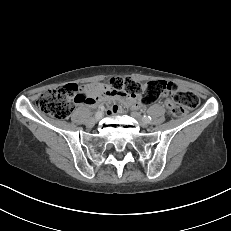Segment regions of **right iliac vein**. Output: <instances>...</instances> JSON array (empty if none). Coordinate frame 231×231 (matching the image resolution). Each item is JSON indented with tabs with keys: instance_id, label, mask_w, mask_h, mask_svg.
<instances>
[{
	"instance_id": "1",
	"label": "right iliac vein",
	"mask_w": 231,
	"mask_h": 231,
	"mask_svg": "<svg viewBox=\"0 0 231 231\" xmlns=\"http://www.w3.org/2000/svg\"><path fill=\"white\" fill-rule=\"evenodd\" d=\"M102 116V112H100L98 115H95V117L89 122V125H94L97 121H99L102 118Z\"/></svg>"
}]
</instances>
